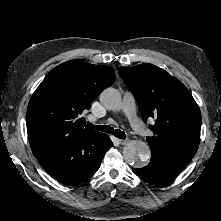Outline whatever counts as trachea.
I'll return each instance as SVG.
<instances>
[{
	"instance_id": "obj_1",
	"label": "trachea",
	"mask_w": 221,
	"mask_h": 221,
	"mask_svg": "<svg viewBox=\"0 0 221 221\" xmlns=\"http://www.w3.org/2000/svg\"><path fill=\"white\" fill-rule=\"evenodd\" d=\"M90 127L96 129V130H99V131H102V132H105V133H109V134H113L114 136H116L117 138H120V139H125L126 138V135L123 131L119 130V129H114L110 126H106V125H93L91 123H87Z\"/></svg>"
}]
</instances>
